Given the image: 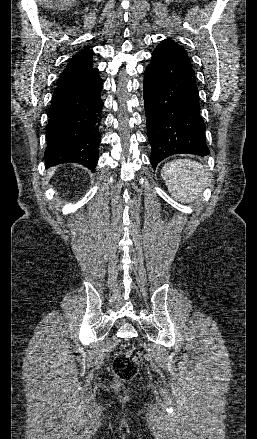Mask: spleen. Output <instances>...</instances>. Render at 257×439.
<instances>
[{
	"label": "spleen",
	"instance_id": "3e777b00",
	"mask_svg": "<svg viewBox=\"0 0 257 439\" xmlns=\"http://www.w3.org/2000/svg\"><path fill=\"white\" fill-rule=\"evenodd\" d=\"M161 176L169 192L180 202L190 203L207 185L208 173L203 166L189 159L165 164Z\"/></svg>",
	"mask_w": 257,
	"mask_h": 439
}]
</instances>
